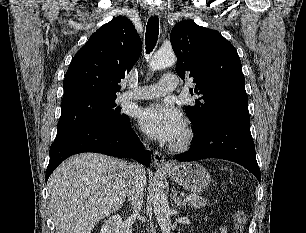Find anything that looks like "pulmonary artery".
I'll return each mask as SVG.
<instances>
[{"label":"pulmonary artery","instance_id":"obj_1","mask_svg":"<svg viewBox=\"0 0 306 233\" xmlns=\"http://www.w3.org/2000/svg\"><path fill=\"white\" fill-rule=\"evenodd\" d=\"M178 86V78L176 75H165L157 84L143 86L135 91L126 92L122 95L127 100H143L153 99L166 95L174 91Z\"/></svg>","mask_w":306,"mask_h":233}]
</instances>
